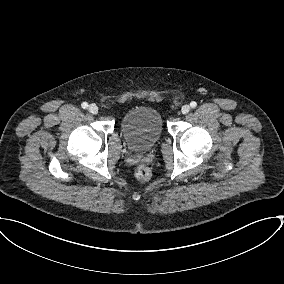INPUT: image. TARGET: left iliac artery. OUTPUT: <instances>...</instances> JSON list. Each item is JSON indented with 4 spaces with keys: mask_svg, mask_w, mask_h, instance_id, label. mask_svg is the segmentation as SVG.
<instances>
[{
    "mask_svg": "<svg viewBox=\"0 0 284 284\" xmlns=\"http://www.w3.org/2000/svg\"><path fill=\"white\" fill-rule=\"evenodd\" d=\"M191 108H195L197 106V103L195 101H192L190 103Z\"/></svg>",
    "mask_w": 284,
    "mask_h": 284,
    "instance_id": "44dca946",
    "label": "left iliac artery"
}]
</instances>
